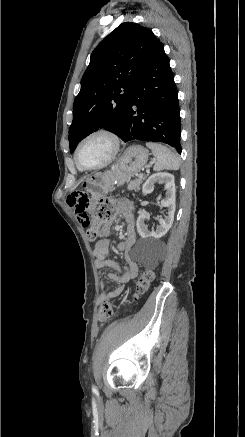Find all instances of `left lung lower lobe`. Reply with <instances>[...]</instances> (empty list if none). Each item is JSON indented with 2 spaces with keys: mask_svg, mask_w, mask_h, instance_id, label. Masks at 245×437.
Returning a JSON list of instances; mask_svg holds the SVG:
<instances>
[{
  "mask_svg": "<svg viewBox=\"0 0 245 437\" xmlns=\"http://www.w3.org/2000/svg\"><path fill=\"white\" fill-rule=\"evenodd\" d=\"M178 92L162 43L134 83L121 139L162 142L181 153Z\"/></svg>",
  "mask_w": 245,
  "mask_h": 437,
  "instance_id": "left-lung-lower-lobe-1",
  "label": "left lung lower lobe"
}]
</instances>
